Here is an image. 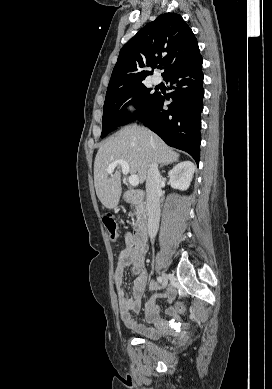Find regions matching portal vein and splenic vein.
Segmentation results:
<instances>
[{
	"instance_id": "18ae733b",
	"label": "portal vein and splenic vein",
	"mask_w": 272,
	"mask_h": 389,
	"mask_svg": "<svg viewBox=\"0 0 272 389\" xmlns=\"http://www.w3.org/2000/svg\"><path fill=\"white\" fill-rule=\"evenodd\" d=\"M120 166L121 169H122V173L124 175H127L129 173V164L124 161V160H116L114 161L113 163H111L108 168H107V172L109 174H112L114 169L117 167V166ZM128 182L131 186H137L139 184V178L136 174H132L129 176L128 178Z\"/></svg>"
}]
</instances>
